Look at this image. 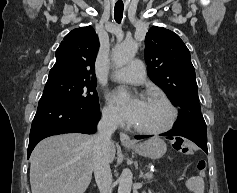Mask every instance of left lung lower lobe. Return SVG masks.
<instances>
[{"instance_id": "1", "label": "left lung lower lobe", "mask_w": 237, "mask_h": 193, "mask_svg": "<svg viewBox=\"0 0 237 193\" xmlns=\"http://www.w3.org/2000/svg\"><path fill=\"white\" fill-rule=\"evenodd\" d=\"M161 136H167L168 139H173L171 136H182L187 139H190L194 143H196L200 148H202L206 153L207 151V132H201L197 130L191 129H176L161 134ZM150 136H136V139L148 138Z\"/></svg>"}]
</instances>
